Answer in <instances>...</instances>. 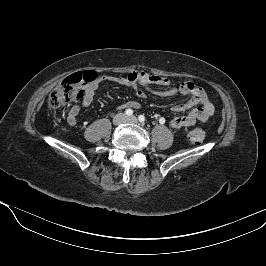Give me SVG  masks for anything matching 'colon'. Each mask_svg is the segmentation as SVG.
Instances as JSON below:
<instances>
[{
	"instance_id": "colon-1",
	"label": "colon",
	"mask_w": 266,
	"mask_h": 266,
	"mask_svg": "<svg viewBox=\"0 0 266 266\" xmlns=\"http://www.w3.org/2000/svg\"><path fill=\"white\" fill-rule=\"evenodd\" d=\"M97 78L93 71L77 72L66 77L50 94L48 105L50 108H62L73 102L83 101L87 87ZM205 138L202 128L190 131L188 140L192 145H199Z\"/></svg>"
}]
</instances>
